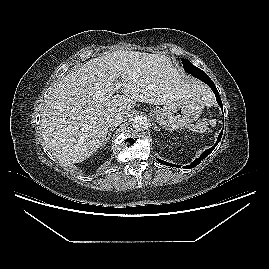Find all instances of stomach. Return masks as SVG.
Listing matches in <instances>:
<instances>
[{"mask_svg": "<svg viewBox=\"0 0 269 269\" xmlns=\"http://www.w3.org/2000/svg\"><path fill=\"white\" fill-rule=\"evenodd\" d=\"M203 105L194 97L176 100L163 108L151 110L152 117L166 130H182L201 115Z\"/></svg>", "mask_w": 269, "mask_h": 269, "instance_id": "obj_1", "label": "stomach"}]
</instances>
